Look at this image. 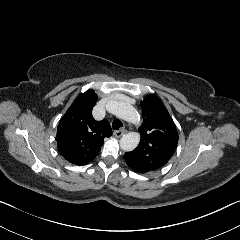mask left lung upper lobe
<instances>
[{
	"label": "left lung upper lobe",
	"instance_id": "5c2ea615",
	"mask_svg": "<svg viewBox=\"0 0 240 240\" xmlns=\"http://www.w3.org/2000/svg\"><path fill=\"white\" fill-rule=\"evenodd\" d=\"M140 104L143 112V124L139 129L141 140L135 150L125 153L124 159L134 171L148 172L169 161L178 143V133L158 97L148 95Z\"/></svg>",
	"mask_w": 240,
	"mask_h": 240
}]
</instances>
